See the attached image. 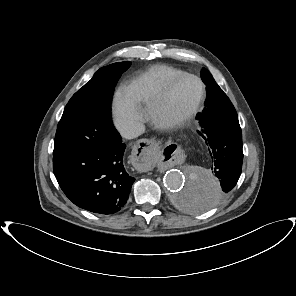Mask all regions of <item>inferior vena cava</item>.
Instances as JSON below:
<instances>
[{
  "mask_svg": "<svg viewBox=\"0 0 296 296\" xmlns=\"http://www.w3.org/2000/svg\"><path fill=\"white\" fill-rule=\"evenodd\" d=\"M143 124L134 122L120 129V134L125 139H134L144 132Z\"/></svg>",
  "mask_w": 296,
  "mask_h": 296,
  "instance_id": "602c4592",
  "label": "inferior vena cava"
}]
</instances>
